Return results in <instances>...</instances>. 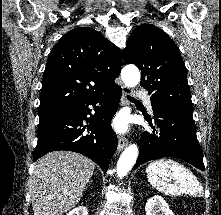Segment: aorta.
<instances>
[{
    "mask_svg": "<svg viewBox=\"0 0 221 215\" xmlns=\"http://www.w3.org/2000/svg\"><path fill=\"white\" fill-rule=\"evenodd\" d=\"M121 78L127 87L133 88L140 82V71L135 65H126L121 71ZM138 157V147L130 144L121 154L117 163V176H125L133 167Z\"/></svg>",
    "mask_w": 221,
    "mask_h": 215,
    "instance_id": "aorta-1",
    "label": "aorta"
}]
</instances>
